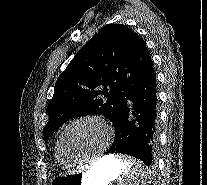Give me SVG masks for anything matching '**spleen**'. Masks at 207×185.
Wrapping results in <instances>:
<instances>
[{
	"instance_id": "spleen-1",
	"label": "spleen",
	"mask_w": 207,
	"mask_h": 185,
	"mask_svg": "<svg viewBox=\"0 0 207 185\" xmlns=\"http://www.w3.org/2000/svg\"><path fill=\"white\" fill-rule=\"evenodd\" d=\"M124 174L119 178L120 185H144L146 179H154L149 174V166H145L142 159L131 158V153H120Z\"/></svg>"
}]
</instances>
